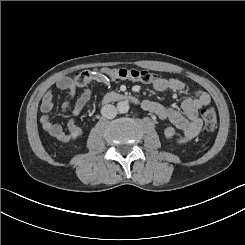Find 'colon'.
Instances as JSON below:
<instances>
[{"label": "colon", "mask_w": 245, "mask_h": 245, "mask_svg": "<svg viewBox=\"0 0 245 245\" xmlns=\"http://www.w3.org/2000/svg\"><path fill=\"white\" fill-rule=\"evenodd\" d=\"M102 77L129 79L144 84H153L158 79L154 73L146 70L120 67L108 69L105 72H80L76 75L75 81L79 86H85L91 80H98ZM201 116L205 129L208 131H213L217 126V115L215 110L213 108H206L202 111Z\"/></svg>", "instance_id": "1"}]
</instances>
